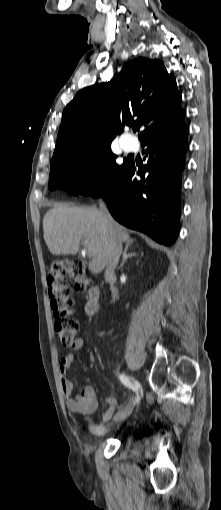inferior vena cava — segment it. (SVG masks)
Here are the masks:
<instances>
[{
	"label": "inferior vena cava",
	"instance_id": "602c4592",
	"mask_svg": "<svg viewBox=\"0 0 221 510\" xmlns=\"http://www.w3.org/2000/svg\"><path fill=\"white\" fill-rule=\"evenodd\" d=\"M100 207L103 212L106 214L109 225L111 224L112 217L109 214L107 207L103 201L100 202ZM122 253V242L118 239L115 233H111L108 250L106 254V270H105V279L110 282L116 281L115 268L118 264L119 257ZM113 296H117V289L115 287H111Z\"/></svg>",
	"mask_w": 221,
	"mask_h": 510
}]
</instances>
